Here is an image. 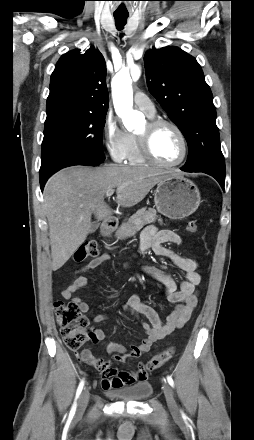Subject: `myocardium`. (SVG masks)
<instances>
[{
    "label": "myocardium",
    "mask_w": 254,
    "mask_h": 440,
    "mask_svg": "<svg viewBox=\"0 0 254 440\" xmlns=\"http://www.w3.org/2000/svg\"><path fill=\"white\" fill-rule=\"evenodd\" d=\"M161 126H168L172 128L177 135L179 136L181 143H182V154L180 159L177 162L174 163H164L160 161L154 154L152 150V137L155 133V131L161 127ZM138 144L140 152L143 156V158L156 166L163 167V168H173L181 165L188 155V142L186 139L185 134L181 130V128L175 124L174 122L164 119V118H152L147 122V131L143 134L137 135Z\"/></svg>",
    "instance_id": "myocardium-1"
}]
</instances>
